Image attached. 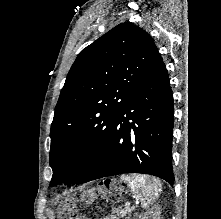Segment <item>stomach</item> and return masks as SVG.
<instances>
[{
  "label": "stomach",
  "instance_id": "obj_1",
  "mask_svg": "<svg viewBox=\"0 0 221 219\" xmlns=\"http://www.w3.org/2000/svg\"><path fill=\"white\" fill-rule=\"evenodd\" d=\"M104 183H112L113 188H109L110 195H125V190H115L117 187L114 185L115 183H118V178H104L102 180Z\"/></svg>",
  "mask_w": 221,
  "mask_h": 219
}]
</instances>
